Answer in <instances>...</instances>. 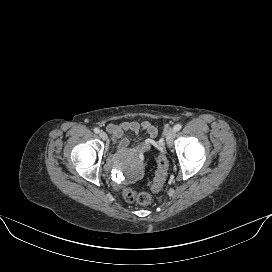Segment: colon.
Instances as JSON below:
<instances>
[{
    "label": "colon",
    "mask_w": 272,
    "mask_h": 272,
    "mask_svg": "<svg viewBox=\"0 0 272 272\" xmlns=\"http://www.w3.org/2000/svg\"><path fill=\"white\" fill-rule=\"evenodd\" d=\"M168 172V161L163 152L157 157V171L152 184V189L158 191L162 188ZM123 197L128 202H137L141 205H149L152 202V196L149 193H137L128 186L123 187Z\"/></svg>",
    "instance_id": "1"
}]
</instances>
